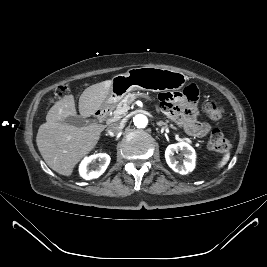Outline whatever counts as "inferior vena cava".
I'll return each instance as SVG.
<instances>
[{
  "label": "inferior vena cava",
  "instance_id": "obj_1",
  "mask_svg": "<svg viewBox=\"0 0 267 267\" xmlns=\"http://www.w3.org/2000/svg\"><path fill=\"white\" fill-rule=\"evenodd\" d=\"M124 128L123 123L121 122H114L108 126V132L112 135L118 134Z\"/></svg>",
  "mask_w": 267,
  "mask_h": 267
}]
</instances>
